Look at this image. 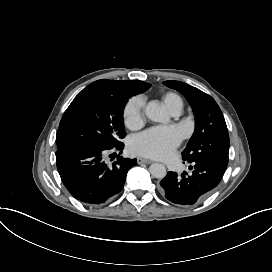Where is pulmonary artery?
Wrapping results in <instances>:
<instances>
[{
	"label": "pulmonary artery",
	"mask_w": 272,
	"mask_h": 272,
	"mask_svg": "<svg viewBox=\"0 0 272 272\" xmlns=\"http://www.w3.org/2000/svg\"><path fill=\"white\" fill-rule=\"evenodd\" d=\"M181 111H182V101H178L172 111V114L179 115L181 113Z\"/></svg>",
	"instance_id": "1"
}]
</instances>
